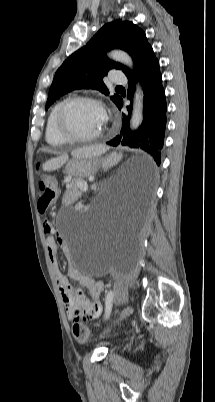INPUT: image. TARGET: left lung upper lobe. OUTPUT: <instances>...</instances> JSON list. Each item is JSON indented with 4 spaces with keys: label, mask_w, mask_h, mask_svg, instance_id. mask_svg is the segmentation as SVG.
Returning a JSON list of instances; mask_svg holds the SVG:
<instances>
[{
    "label": "left lung upper lobe",
    "mask_w": 215,
    "mask_h": 402,
    "mask_svg": "<svg viewBox=\"0 0 215 402\" xmlns=\"http://www.w3.org/2000/svg\"><path fill=\"white\" fill-rule=\"evenodd\" d=\"M114 48H120L132 57L135 72L155 57L145 32L137 25L120 19L105 24L84 47L70 55L57 70L49 90L46 109L59 97L75 89H96L108 95L103 77L113 68L121 69L126 76L131 75L133 72L128 67L107 57L106 52ZM120 99L116 94L111 96L115 104Z\"/></svg>",
    "instance_id": "left-lung-upper-lobe-1"
}]
</instances>
